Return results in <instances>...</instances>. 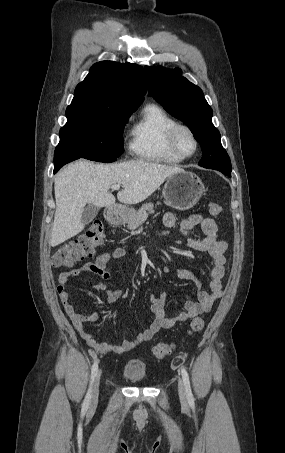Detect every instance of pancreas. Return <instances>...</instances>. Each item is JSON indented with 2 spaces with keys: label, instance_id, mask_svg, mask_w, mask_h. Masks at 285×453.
<instances>
[{
  "label": "pancreas",
  "instance_id": "pancreas-1",
  "mask_svg": "<svg viewBox=\"0 0 285 453\" xmlns=\"http://www.w3.org/2000/svg\"><path fill=\"white\" fill-rule=\"evenodd\" d=\"M160 203L158 202V205ZM154 213V205L146 203L138 210H131L127 215V228L130 230L137 229L143 222L146 221L149 214Z\"/></svg>",
  "mask_w": 285,
  "mask_h": 453
}]
</instances>
